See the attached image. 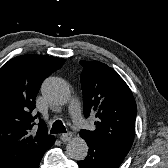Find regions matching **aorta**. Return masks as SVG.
Masks as SVG:
<instances>
[{
  "label": "aorta",
  "instance_id": "aorta-1",
  "mask_svg": "<svg viewBox=\"0 0 168 168\" xmlns=\"http://www.w3.org/2000/svg\"><path fill=\"white\" fill-rule=\"evenodd\" d=\"M41 93L53 105H65L71 96L68 84L58 77L47 78L41 86ZM66 152L74 160H83L88 153L87 143L81 137H74L68 142Z\"/></svg>",
  "mask_w": 168,
  "mask_h": 168
}]
</instances>
